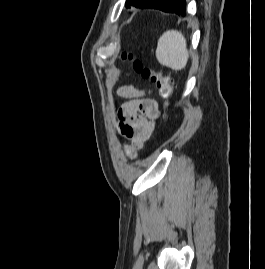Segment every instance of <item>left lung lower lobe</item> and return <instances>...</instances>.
I'll return each instance as SVG.
<instances>
[{"label": "left lung lower lobe", "instance_id": "0a47b994", "mask_svg": "<svg viewBox=\"0 0 265 269\" xmlns=\"http://www.w3.org/2000/svg\"><path fill=\"white\" fill-rule=\"evenodd\" d=\"M185 0H146L138 8L159 9L168 13H176L179 16H185Z\"/></svg>", "mask_w": 265, "mask_h": 269}]
</instances>
